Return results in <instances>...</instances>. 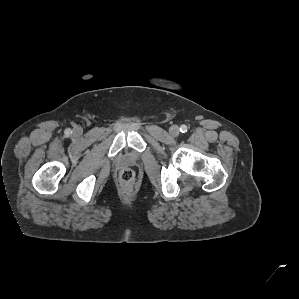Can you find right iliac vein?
Listing matches in <instances>:
<instances>
[{"label":"right iliac vein","mask_w":299,"mask_h":299,"mask_svg":"<svg viewBox=\"0 0 299 299\" xmlns=\"http://www.w3.org/2000/svg\"><path fill=\"white\" fill-rule=\"evenodd\" d=\"M76 133H77V134H79V133H80V130H79V129H77V130H76Z\"/></svg>","instance_id":"63e3f726"}]
</instances>
